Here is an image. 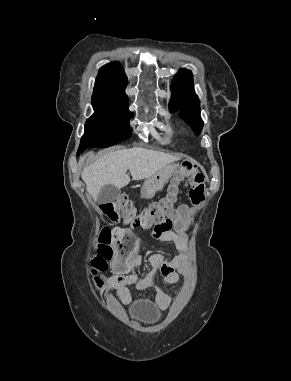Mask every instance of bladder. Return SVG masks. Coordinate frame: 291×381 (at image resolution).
<instances>
[{
	"label": "bladder",
	"mask_w": 291,
	"mask_h": 381,
	"mask_svg": "<svg viewBox=\"0 0 291 381\" xmlns=\"http://www.w3.org/2000/svg\"><path fill=\"white\" fill-rule=\"evenodd\" d=\"M130 317L140 323H152L155 322L160 313L153 311L149 308L146 301H139L130 305L129 311Z\"/></svg>",
	"instance_id": "31cf9c89"
}]
</instances>
